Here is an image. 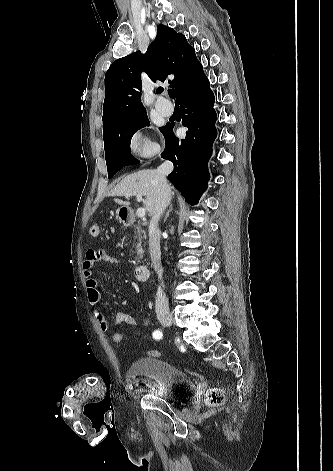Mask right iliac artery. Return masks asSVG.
<instances>
[{"label": "right iliac artery", "instance_id": "82829eb1", "mask_svg": "<svg viewBox=\"0 0 333 471\" xmlns=\"http://www.w3.org/2000/svg\"><path fill=\"white\" fill-rule=\"evenodd\" d=\"M153 338L154 339H161L162 338V332L160 330H155L153 332Z\"/></svg>", "mask_w": 333, "mask_h": 471}]
</instances>
